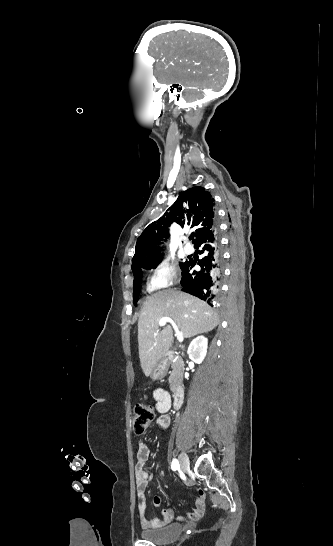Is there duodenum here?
Returning <instances> with one entry per match:
<instances>
[{
  "instance_id": "duodenum-1",
  "label": "duodenum",
  "mask_w": 333,
  "mask_h": 546,
  "mask_svg": "<svg viewBox=\"0 0 333 546\" xmlns=\"http://www.w3.org/2000/svg\"><path fill=\"white\" fill-rule=\"evenodd\" d=\"M184 396H185V386L183 384L177 385L173 393L174 407L179 408L182 405Z\"/></svg>"
}]
</instances>
